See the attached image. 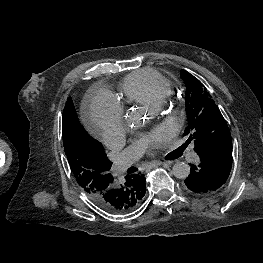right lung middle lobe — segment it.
<instances>
[{
  "instance_id": "obj_1",
  "label": "right lung middle lobe",
  "mask_w": 263,
  "mask_h": 263,
  "mask_svg": "<svg viewBox=\"0 0 263 263\" xmlns=\"http://www.w3.org/2000/svg\"><path fill=\"white\" fill-rule=\"evenodd\" d=\"M64 150L70 168L87 194L104 188L111 176V161L100 142L92 138L80 124L71 98H68L62 116Z\"/></svg>"
}]
</instances>
